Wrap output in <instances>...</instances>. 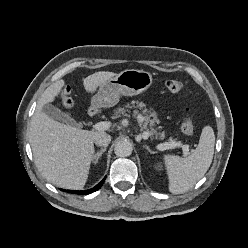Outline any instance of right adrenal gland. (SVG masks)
I'll return each instance as SVG.
<instances>
[{"label": "right adrenal gland", "mask_w": 248, "mask_h": 248, "mask_svg": "<svg viewBox=\"0 0 248 248\" xmlns=\"http://www.w3.org/2000/svg\"><path fill=\"white\" fill-rule=\"evenodd\" d=\"M106 151V147L102 148L99 152L95 153L93 156V163L97 164L98 160L100 159V157L102 156V154Z\"/></svg>", "instance_id": "2a0ac1e0"}]
</instances>
